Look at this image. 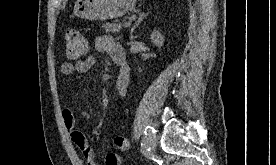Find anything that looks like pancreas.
<instances>
[{
  "label": "pancreas",
  "instance_id": "obj_1",
  "mask_svg": "<svg viewBox=\"0 0 276 165\" xmlns=\"http://www.w3.org/2000/svg\"><path fill=\"white\" fill-rule=\"evenodd\" d=\"M122 23H120V22H112V23H105L104 25H103V28H105V30L107 31V32H112V33H114V32H119L120 30H121V28H122Z\"/></svg>",
  "mask_w": 276,
  "mask_h": 165
}]
</instances>
